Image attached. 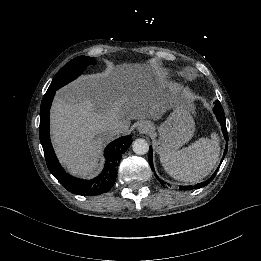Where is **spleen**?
Segmentation results:
<instances>
[{
	"label": "spleen",
	"instance_id": "spleen-1",
	"mask_svg": "<svg viewBox=\"0 0 261 261\" xmlns=\"http://www.w3.org/2000/svg\"><path fill=\"white\" fill-rule=\"evenodd\" d=\"M219 141L218 134L213 132L210 139L200 138L178 152L161 155L160 162L175 180L198 183L211 173L218 162Z\"/></svg>",
	"mask_w": 261,
	"mask_h": 261
}]
</instances>
